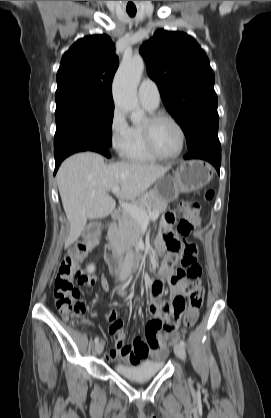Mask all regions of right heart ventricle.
Here are the masks:
<instances>
[{"label":"right heart ventricle","instance_id":"right-heart-ventricle-1","mask_svg":"<svg viewBox=\"0 0 271 418\" xmlns=\"http://www.w3.org/2000/svg\"><path fill=\"white\" fill-rule=\"evenodd\" d=\"M143 107L149 113L154 111L147 106L143 105ZM121 154L125 159L131 161L152 162L157 159L148 151L143 137L142 125L138 124L130 126L128 141Z\"/></svg>","mask_w":271,"mask_h":418}]
</instances>
